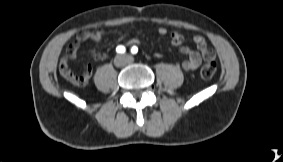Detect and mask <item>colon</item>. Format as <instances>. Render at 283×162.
I'll list each match as a JSON object with an SVG mask.
<instances>
[{
  "instance_id": "obj_1",
  "label": "colon",
  "mask_w": 283,
  "mask_h": 162,
  "mask_svg": "<svg viewBox=\"0 0 283 162\" xmlns=\"http://www.w3.org/2000/svg\"><path fill=\"white\" fill-rule=\"evenodd\" d=\"M217 70V63L215 58L209 57L205 60V62L200 67V75L203 79H211ZM60 74L70 82L77 84V85H85L90 78V71L89 69H85L80 73H75L66 67L60 68Z\"/></svg>"
}]
</instances>
